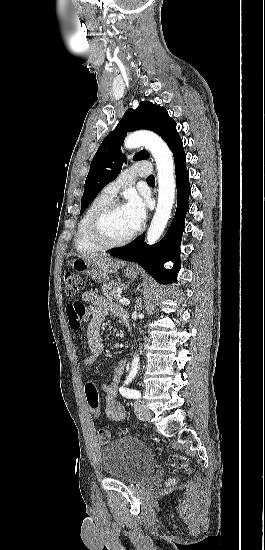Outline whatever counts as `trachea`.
I'll return each instance as SVG.
<instances>
[{
  "label": "trachea",
  "instance_id": "1",
  "mask_svg": "<svg viewBox=\"0 0 265 550\" xmlns=\"http://www.w3.org/2000/svg\"><path fill=\"white\" fill-rule=\"evenodd\" d=\"M155 182V177L153 175H149L147 177V183Z\"/></svg>",
  "mask_w": 265,
  "mask_h": 550
}]
</instances>
